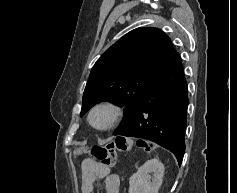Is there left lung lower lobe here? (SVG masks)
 <instances>
[{
    "mask_svg": "<svg viewBox=\"0 0 237 193\" xmlns=\"http://www.w3.org/2000/svg\"><path fill=\"white\" fill-rule=\"evenodd\" d=\"M187 106V82L177 53L146 90L130 123L116 135L153 141L171 151L180 165Z\"/></svg>",
    "mask_w": 237,
    "mask_h": 193,
    "instance_id": "0a47b994",
    "label": "left lung lower lobe"
}]
</instances>
